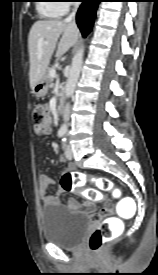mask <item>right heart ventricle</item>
Instances as JSON below:
<instances>
[{
  "label": "right heart ventricle",
  "mask_w": 158,
  "mask_h": 275,
  "mask_svg": "<svg viewBox=\"0 0 158 275\" xmlns=\"http://www.w3.org/2000/svg\"><path fill=\"white\" fill-rule=\"evenodd\" d=\"M43 2L46 3H40L38 5L39 11L42 15L46 17H60L64 14L62 8L58 5V3H53L52 1Z\"/></svg>",
  "instance_id": "e07e8e85"
}]
</instances>
